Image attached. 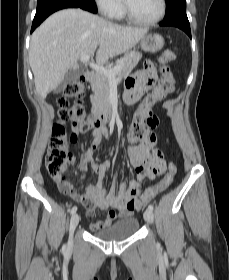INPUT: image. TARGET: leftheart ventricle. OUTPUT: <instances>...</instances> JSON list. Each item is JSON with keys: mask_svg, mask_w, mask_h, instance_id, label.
<instances>
[{"mask_svg": "<svg viewBox=\"0 0 229 280\" xmlns=\"http://www.w3.org/2000/svg\"><path fill=\"white\" fill-rule=\"evenodd\" d=\"M132 14L142 20L156 17L161 9L160 0H127Z\"/></svg>", "mask_w": 229, "mask_h": 280, "instance_id": "left-heart-ventricle-1", "label": "left heart ventricle"}]
</instances>
